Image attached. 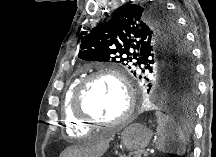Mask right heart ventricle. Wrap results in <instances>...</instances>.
Segmentation results:
<instances>
[{
  "instance_id": "right-heart-ventricle-1",
  "label": "right heart ventricle",
  "mask_w": 216,
  "mask_h": 157,
  "mask_svg": "<svg viewBox=\"0 0 216 157\" xmlns=\"http://www.w3.org/2000/svg\"><path fill=\"white\" fill-rule=\"evenodd\" d=\"M79 79H74L65 89L62 99V116L65 125L66 132L71 136H86L91 133V129L88 125L78 120L72 112V97L77 86Z\"/></svg>"
}]
</instances>
